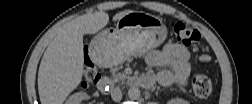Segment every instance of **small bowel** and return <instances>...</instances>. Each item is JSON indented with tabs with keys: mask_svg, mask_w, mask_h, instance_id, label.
Instances as JSON below:
<instances>
[{
	"mask_svg": "<svg viewBox=\"0 0 252 104\" xmlns=\"http://www.w3.org/2000/svg\"><path fill=\"white\" fill-rule=\"evenodd\" d=\"M189 58L187 47L178 43H168L161 50L147 54L146 62L149 66L163 68L149 76L163 86L184 87L192 73Z\"/></svg>",
	"mask_w": 252,
	"mask_h": 104,
	"instance_id": "c3829d8e",
	"label": "small bowel"
}]
</instances>
